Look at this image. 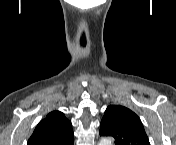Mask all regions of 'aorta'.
<instances>
[{
    "mask_svg": "<svg viewBox=\"0 0 176 145\" xmlns=\"http://www.w3.org/2000/svg\"><path fill=\"white\" fill-rule=\"evenodd\" d=\"M99 145H112V141L109 138H102L99 141Z\"/></svg>",
    "mask_w": 176,
    "mask_h": 145,
    "instance_id": "obj_1",
    "label": "aorta"
}]
</instances>
